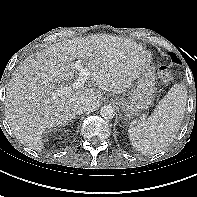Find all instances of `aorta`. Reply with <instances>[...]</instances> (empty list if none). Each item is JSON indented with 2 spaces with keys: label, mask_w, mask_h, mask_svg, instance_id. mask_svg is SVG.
<instances>
[{
  "label": "aorta",
  "mask_w": 197,
  "mask_h": 197,
  "mask_svg": "<svg viewBox=\"0 0 197 197\" xmlns=\"http://www.w3.org/2000/svg\"><path fill=\"white\" fill-rule=\"evenodd\" d=\"M100 115L104 118V119H112L115 116V110L112 106L110 105H105L101 108L100 110Z\"/></svg>",
  "instance_id": "762f6f07"
}]
</instances>
